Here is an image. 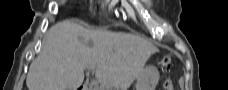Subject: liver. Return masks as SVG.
<instances>
[{
  "mask_svg": "<svg viewBox=\"0 0 228 90\" xmlns=\"http://www.w3.org/2000/svg\"><path fill=\"white\" fill-rule=\"evenodd\" d=\"M157 51L150 40L139 35L94 31L65 20L52 26L44 37L26 84L28 90H77L84 70L93 67L105 90H127Z\"/></svg>",
  "mask_w": 228,
  "mask_h": 90,
  "instance_id": "1",
  "label": "liver"
}]
</instances>
